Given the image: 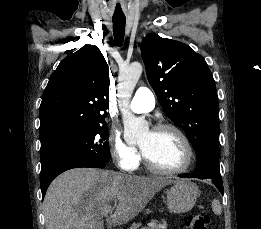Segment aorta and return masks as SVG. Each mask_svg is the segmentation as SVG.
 I'll return each instance as SVG.
<instances>
[{
	"instance_id": "1",
	"label": "aorta",
	"mask_w": 261,
	"mask_h": 229,
	"mask_svg": "<svg viewBox=\"0 0 261 229\" xmlns=\"http://www.w3.org/2000/svg\"><path fill=\"white\" fill-rule=\"evenodd\" d=\"M143 66L141 62H131L128 66H121L119 72V106L122 112L125 133L132 135L135 139H143L148 135V123L145 117H135L129 108L131 94L142 74Z\"/></svg>"
}]
</instances>
